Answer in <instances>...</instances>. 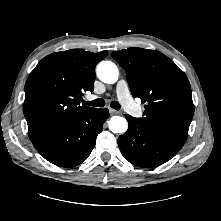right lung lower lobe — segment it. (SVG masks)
Wrapping results in <instances>:
<instances>
[{"label": "right lung lower lobe", "instance_id": "98d812e1", "mask_svg": "<svg viewBox=\"0 0 221 221\" xmlns=\"http://www.w3.org/2000/svg\"><path fill=\"white\" fill-rule=\"evenodd\" d=\"M108 117V109H95L79 116L60 132L39 137L32 143L49 162L61 167H75L90 155Z\"/></svg>", "mask_w": 221, "mask_h": 221}]
</instances>
